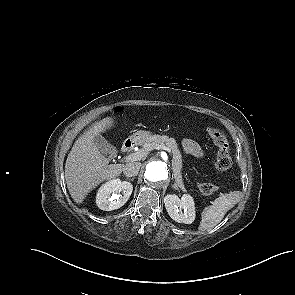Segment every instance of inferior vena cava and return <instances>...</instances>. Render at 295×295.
<instances>
[{"instance_id": "obj_1", "label": "inferior vena cava", "mask_w": 295, "mask_h": 295, "mask_svg": "<svg viewBox=\"0 0 295 295\" xmlns=\"http://www.w3.org/2000/svg\"><path fill=\"white\" fill-rule=\"evenodd\" d=\"M140 167H141V163L139 162L127 163L123 167V173L127 177H134L138 174Z\"/></svg>"}]
</instances>
